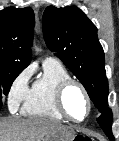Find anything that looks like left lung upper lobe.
<instances>
[{
	"label": "left lung upper lobe",
	"mask_w": 119,
	"mask_h": 141,
	"mask_svg": "<svg viewBox=\"0 0 119 141\" xmlns=\"http://www.w3.org/2000/svg\"><path fill=\"white\" fill-rule=\"evenodd\" d=\"M42 27L48 48L83 84L98 111H106L108 80L96 26L76 6H49Z\"/></svg>",
	"instance_id": "left-lung-upper-lobe-1"
}]
</instances>
